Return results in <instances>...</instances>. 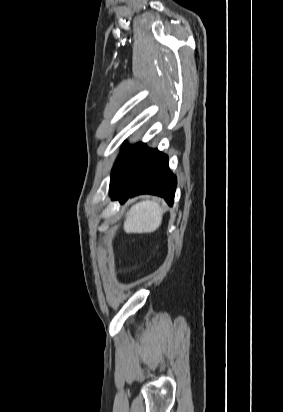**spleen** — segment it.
I'll return each mask as SVG.
<instances>
[{"mask_svg":"<svg viewBox=\"0 0 283 412\" xmlns=\"http://www.w3.org/2000/svg\"><path fill=\"white\" fill-rule=\"evenodd\" d=\"M161 223V206L156 201L146 200L131 207L124 222V230L126 233H151Z\"/></svg>","mask_w":283,"mask_h":412,"instance_id":"obj_1","label":"spleen"}]
</instances>
